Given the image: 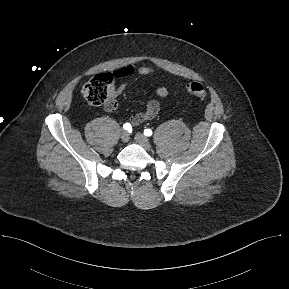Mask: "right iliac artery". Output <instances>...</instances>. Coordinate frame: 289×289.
<instances>
[{
	"instance_id": "82829eb1",
	"label": "right iliac artery",
	"mask_w": 289,
	"mask_h": 289,
	"mask_svg": "<svg viewBox=\"0 0 289 289\" xmlns=\"http://www.w3.org/2000/svg\"><path fill=\"white\" fill-rule=\"evenodd\" d=\"M123 128H124L125 130H128V131H130V130L132 129L130 123H125V124L123 125Z\"/></svg>"
}]
</instances>
